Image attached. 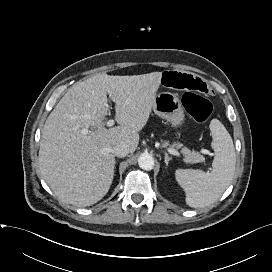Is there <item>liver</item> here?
Returning <instances> with one entry per match:
<instances>
[{
	"label": "liver",
	"instance_id": "1",
	"mask_svg": "<svg viewBox=\"0 0 272 272\" xmlns=\"http://www.w3.org/2000/svg\"><path fill=\"white\" fill-rule=\"evenodd\" d=\"M161 72L133 76L96 74L74 84L48 116L42 130L39 168L63 202L85 207L100 201L114 177V146L133 153L160 86ZM107 94L119 126L107 129Z\"/></svg>",
	"mask_w": 272,
	"mask_h": 272
}]
</instances>
